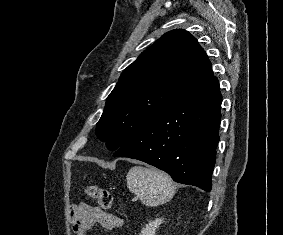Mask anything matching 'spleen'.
Instances as JSON below:
<instances>
[{"mask_svg": "<svg viewBox=\"0 0 283 235\" xmlns=\"http://www.w3.org/2000/svg\"><path fill=\"white\" fill-rule=\"evenodd\" d=\"M127 188L136 194L142 203L155 207L170 201L175 194L172 178L156 168L134 166L127 176Z\"/></svg>", "mask_w": 283, "mask_h": 235, "instance_id": "1", "label": "spleen"}]
</instances>
